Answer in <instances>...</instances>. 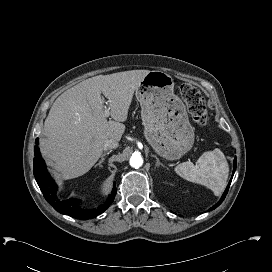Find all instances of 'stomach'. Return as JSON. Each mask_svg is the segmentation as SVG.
<instances>
[{
    "mask_svg": "<svg viewBox=\"0 0 272 272\" xmlns=\"http://www.w3.org/2000/svg\"><path fill=\"white\" fill-rule=\"evenodd\" d=\"M135 95L142 109L145 137L154 151L168 160L187 153L194 143V129L184 103L174 94L173 78L163 71H150Z\"/></svg>",
    "mask_w": 272,
    "mask_h": 272,
    "instance_id": "obj_1",
    "label": "stomach"
}]
</instances>
